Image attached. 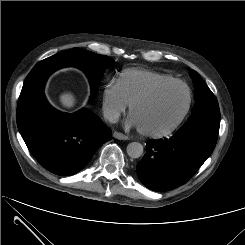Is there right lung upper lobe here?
Here are the masks:
<instances>
[{
  "label": "right lung upper lobe",
  "mask_w": 245,
  "mask_h": 245,
  "mask_svg": "<svg viewBox=\"0 0 245 245\" xmlns=\"http://www.w3.org/2000/svg\"><path fill=\"white\" fill-rule=\"evenodd\" d=\"M57 69L59 68L51 63V58L44 59L35 65L26 77L24 84L31 85L35 93L41 94L47 78Z\"/></svg>",
  "instance_id": "right-lung-upper-lobe-1"
}]
</instances>
